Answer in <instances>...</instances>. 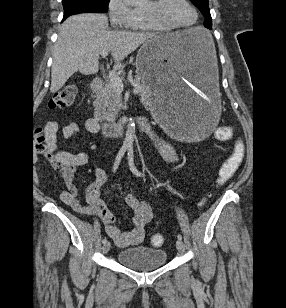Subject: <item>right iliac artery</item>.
<instances>
[{
  "instance_id": "obj_1",
  "label": "right iliac artery",
  "mask_w": 286,
  "mask_h": 308,
  "mask_svg": "<svg viewBox=\"0 0 286 308\" xmlns=\"http://www.w3.org/2000/svg\"><path fill=\"white\" fill-rule=\"evenodd\" d=\"M127 150V147L126 146H122L121 149L119 150L117 156H116V159H115V162H114V166H113V172H115L119 166V163L122 159V157L124 156L125 152ZM107 242V238L104 237L102 239V243L105 244Z\"/></svg>"
}]
</instances>
